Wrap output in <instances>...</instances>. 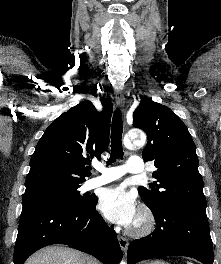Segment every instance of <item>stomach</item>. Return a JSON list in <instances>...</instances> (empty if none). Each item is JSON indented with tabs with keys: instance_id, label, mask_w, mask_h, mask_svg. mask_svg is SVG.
<instances>
[{
	"instance_id": "obj_1",
	"label": "stomach",
	"mask_w": 221,
	"mask_h": 264,
	"mask_svg": "<svg viewBox=\"0 0 221 264\" xmlns=\"http://www.w3.org/2000/svg\"><path fill=\"white\" fill-rule=\"evenodd\" d=\"M148 264H169V263L162 261V260H155V261H151Z\"/></svg>"
}]
</instances>
